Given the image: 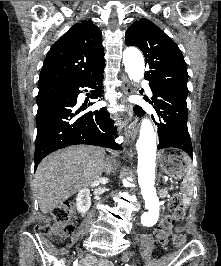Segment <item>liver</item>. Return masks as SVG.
<instances>
[{
    "mask_svg": "<svg viewBox=\"0 0 221 266\" xmlns=\"http://www.w3.org/2000/svg\"><path fill=\"white\" fill-rule=\"evenodd\" d=\"M106 152L89 145L70 146L42 160L34 178L40 210L51 212L77 191L93 185L106 169Z\"/></svg>",
    "mask_w": 221,
    "mask_h": 266,
    "instance_id": "obj_1",
    "label": "liver"
}]
</instances>
